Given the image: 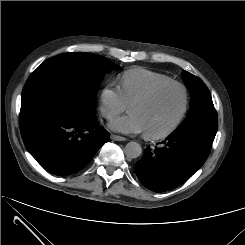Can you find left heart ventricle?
<instances>
[{
    "mask_svg": "<svg viewBox=\"0 0 245 245\" xmlns=\"http://www.w3.org/2000/svg\"><path fill=\"white\" fill-rule=\"evenodd\" d=\"M182 105V91L172 86L159 91L147 102L133 104L129 111L141 119L145 132L158 133L176 120Z\"/></svg>",
    "mask_w": 245,
    "mask_h": 245,
    "instance_id": "1",
    "label": "left heart ventricle"
}]
</instances>
